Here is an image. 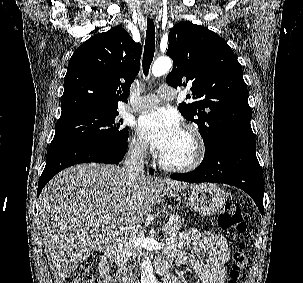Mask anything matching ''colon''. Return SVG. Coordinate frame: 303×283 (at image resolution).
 I'll return each mask as SVG.
<instances>
[{
  "mask_svg": "<svg viewBox=\"0 0 303 283\" xmlns=\"http://www.w3.org/2000/svg\"><path fill=\"white\" fill-rule=\"evenodd\" d=\"M219 225L225 230H232L240 234L245 232L246 224L238 202L228 200L225 203L219 216ZM248 263L249 252L245 245L241 243L234 252L228 283H240L244 278ZM96 271L97 268L94 262H86L78 269L76 274L66 280L65 283H93Z\"/></svg>",
  "mask_w": 303,
  "mask_h": 283,
  "instance_id": "colon-1",
  "label": "colon"
}]
</instances>
